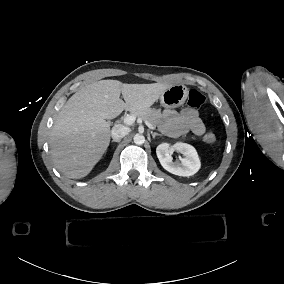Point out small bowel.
Wrapping results in <instances>:
<instances>
[{
    "label": "small bowel",
    "instance_id": "c3829d8e",
    "mask_svg": "<svg viewBox=\"0 0 284 284\" xmlns=\"http://www.w3.org/2000/svg\"><path fill=\"white\" fill-rule=\"evenodd\" d=\"M164 119L163 131L171 137H178L188 132L195 135H202L205 132V126L197 111L189 108L180 111L165 109L162 112Z\"/></svg>",
    "mask_w": 284,
    "mask_h": 284
}]
</instances>
